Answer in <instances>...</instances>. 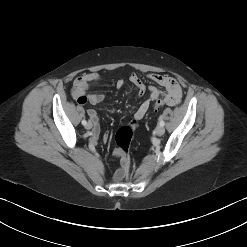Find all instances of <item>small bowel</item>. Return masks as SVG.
<instances>
[{
    "mask_svg": "<svg viewBox=\"0 0 247 247\" xmlns=\"http://www.w3.org/2000/svg\"><path fill=\"white\" fill-rule=\"evenodd\" d=\"M148 78L156 83L159 86L165 88L166 92L161 91L156 86L150 85L146 86V84L136 75L131 74L129 76L130 83L136 88L138 96L142 97L145 93L149 92V97L145 99L139 107L136 109L134 118L135 120H141L144 118L146 113L148 112L150 105L152 102L157 100L160 96H163L167 101V105L174 106L180 103L182 98V89L177 80L173 77L165 76L158 73H150L148 74ZM100 80V75L97 73H87L81 76H78L73 82L72 88V96L78 103L84 104L86 102H90L93 105L101 103L105 96L102 93H92L87 94V89L89 85L93 82H97ZM124 80L120 79L116 82L117 88L124 87ZM88 115L91 121L95 125L94 134L98 133V116L97 112L94 109L88 110ZM136 122V121H134ZM103 142H107L109 140V134L105 133L102 137ZM121 174L118 171L116 174V178H120Z\"/></svg>",
    "mask_w": 247,
    "mask_h": 247,
    "instance_id": "c3829d8e",
    "label": "small bowel"
}]
</instances>
